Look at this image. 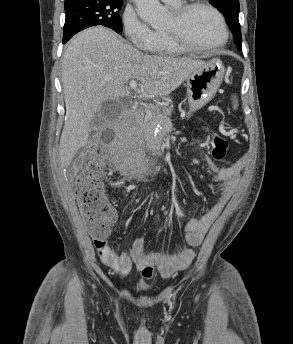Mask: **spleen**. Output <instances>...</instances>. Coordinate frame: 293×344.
<instances>
[{
  "label": "spleen",
  "mask_w": 293,
  "mask_h": 344,
  "mask_svg": "<svg viewBox=\"0 0 293 344\" xmlns=\"http://www.w3.org/2000/svg\"><path fill=\"white\" fill-rule=\"evenodd\" d=\"M237 107V100H234V108L236 109Z\"/></svg>",
  "instance_id": "spleen-1"
}]
</instances>
